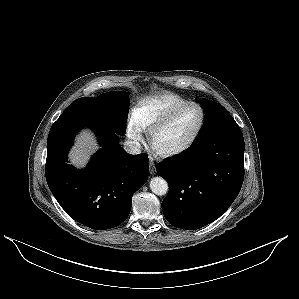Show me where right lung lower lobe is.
<instances>
[{"instance_id":"right-lung-lower-lobe-1","label":"right lung lower lobe","mask_w":299,"mask_h":299,"mask_svg":"<svg viewBox=\"0 0 299 299\" xmlns=\"http://www.w3.org/2000/svg\"><path fill=\"white\" fill-rule=\"evenodd\" d=\"M97 134L101 149L85 169L68 164L67 153L82 127ZM118 135L99 124L57 120L48 135L45 175L54 197L74 220L94 230L120 225L129 215L132 196L148 178V157L132 156Z\"/></svg>"}]
</instances>
